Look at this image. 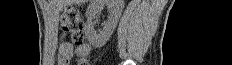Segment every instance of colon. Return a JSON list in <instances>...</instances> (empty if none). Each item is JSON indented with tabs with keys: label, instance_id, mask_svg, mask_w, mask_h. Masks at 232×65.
<instances>
[{
	"label": "colon",
	"instance_id": "obj_1",
	"mask_svg": "<svg viewBox=\"0 0 232 65\" xmlns=\"http://www.w3.org/2000/svg\"><path fill=\"white\" fill-rule=\"evenodd\" d=\"M61 26L63 30L69 34L71 41L76 45H81L83 42V19L79 11L69 7L66 8L61 17ZM80 64L86 65L84 58L81 59Z\"/></svg>",
	"mask_w": 232,
	"mask_h": 65
}]
</instances>
